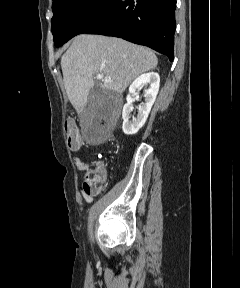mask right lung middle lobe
<instances>
[{
	"mask_svg": "<svg viewBox=\"0 0 240 288\" xmlns=\"http://www.w3.org/2000/svg\"><path fill=\"white\" fill-rule=\"evenodd\" d=\"M112 0H53L51 29L56 47L80 32L109 5Z\"/></svg>",
	"mask_w": 240,
	"mask_h": 288,
	"instance_id": "obj_1",
	"label": "right lung middle lobe"
}]
</instances>
